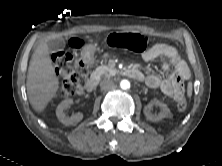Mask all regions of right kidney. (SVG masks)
<instances>
[{
    "instance_id": "1",
    "label": "right kidney",
    "mask_w": 222,
    "mask_h": 166,
    "mask_svg": "<svg viewBox=\"0 0 222 166\" xmlns=\"http://www.w3.org/2000/svg\"><path fill=\"white\" fill-rule=\"evenodd\" d=\"M73 103L72 99H66L62 101L56 109V116L61 123L66 126L74 125L80 122L83 119L82 113L73 114L70 117L66 116L64 113V109L69 107Z\"/></svg>"
}]
</instances>
